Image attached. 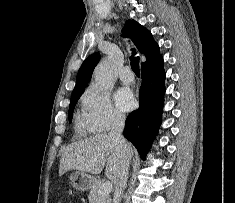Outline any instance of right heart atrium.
Instances as JSON below:
<instances>
[{"label": "right heart atrium", "instance_id": "d8ad5b80", "mask_svg": "<svg viewBox=\"0 0 235 203\" xmlns=\"http://www.w3.org/2000/svg\"><path fill=\"white\" fill-rule=\"evenodd\" d=\"M81 102L86 127L92 132H105L124 120L123 113L115 107L110 95L95 85L85 90Z\"/></svg>", "mask_w": 235, "mask_h": 203}]
</instances>
